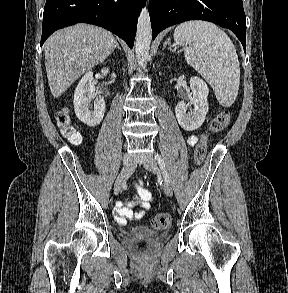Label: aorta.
Masks as SVG:
<instances>
[{
    "label": "aorta",
    "instance_id": "1",
    "mask_svg": "<svg viewBox=\"0 0 288 293\" xmlns=\"http://www.w3.org/2000/svg\"><path fill=\"white\" fill-rule=\"evenodd\" d=\"M152 40V30L148 8H142L137 24L135 40V52L137 62L142 69H145L150 59L149 49Z\"/></svg>",
    "mask_w": 288,
    "mask_h": 293
}]
</instances>
